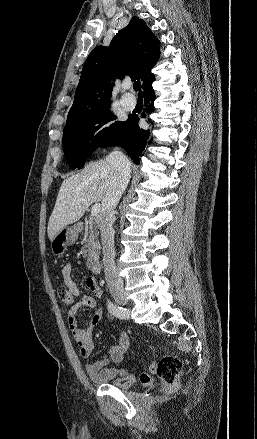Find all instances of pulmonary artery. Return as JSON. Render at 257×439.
Returning <instances> with one entry per match:
<instances>
[{
	"instance_id": "obj_1",
	"label": "pulmonary artery",
	"mask_w": 257,
	"mask_h": 439,
	"mask_svg": "<svg viewBox=\"0 0 257 439\" xmlns=\"http://www.w3.org/2000/svg\"><path fill=\"white\" fill-rule=\"evenodd\" d=\"M128 89L129 87L127 85L123 87V94L120 97V103L126 109L131 110L136 106V98L132 94L126 92Z\"/></svg>"
}]
</instances>
